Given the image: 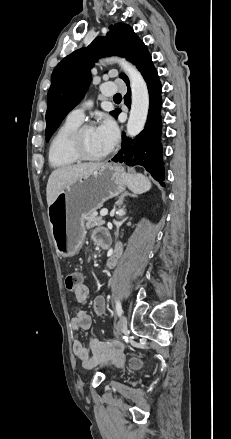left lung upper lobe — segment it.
<instances>
[{"label": "left lung upper lobe", "mask_w": 231, "mask_h": 439, "mask_svg": "<svg viewBox=\"0 0 231 439\" xmlns=\"http://www.w3.org/2000/svg\"><path fill=\"white\" fill-rule=\"evenodd\" d=\"M109 28L105 37L99 36L88 47L74 51L53 70L47 96V141L85 94L90 81V68L95 60L118 55L135 64L140 54L147 49L129 25L117 23ZM120 77L123 80L127 78L123 74ZM116 113L117 110L111 112L114 116Z\"/></svg>", "instance_id": "left-lung-upper-lobe-1"}]
</instances>
